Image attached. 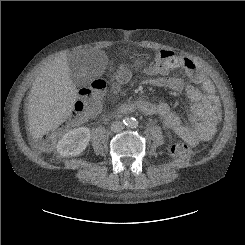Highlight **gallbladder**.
Instances as JSON below:
<instances>
[{
    "label": "gallbladder",
    "mask_w": 245,
    "mask_h": 245,
    "mask_svg": "<svg viewBox=\"0 0 245 245\" xmlns=\"http://www.w3.org/2000/svg\"><path fill=\"white\" fill-rule=\"evenodd\" d=\"M81 57H84V55L81 56H71L69 57L68 61H69V68H70V74L72 77V80L74 81V83L76 85H81L86 81V78H83L80 76L81 74V65H82V59ZM86 75H88V72H86Z\"/></svg>",
    "instance_id": "1"
}]
</instances>
